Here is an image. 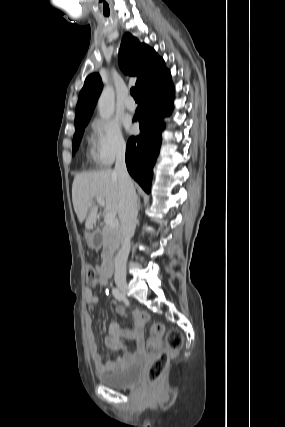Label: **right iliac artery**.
<instances>
[{
    "instance_id": "right-iliac-artery-1",
    "label": "right iliac artery",
    "mask_w": 285,
    "mask_h": 427,
    "mask_svg": "<svg viewBox=\"0 0 285 427\" xmlns=\"http://www.w3.org/2000/svg\"><path fill=\"white\" fill-rule=\"evenodd\" d=\"M112 294L119 301H121L123 299L122 293L120 292V290L118 288H113Z\"/></svg>"
}]
</instances>
